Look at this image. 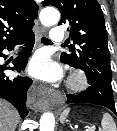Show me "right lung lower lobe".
<instances>
[{
    "label": "right lung lower lobe",
    "instance_id": "right-lung-lower-lobe-1",
    "mask_svg": "<svg viewBox=\"0 0 117 131\" xmlns=\"http://www.w3.org/2000/svg\"><path fill=\"white\" fill-rule=\"evenodd\" d=\"M19 43H26V48L24 52L13 61V67L0 65V98H3L13 104L19 111L20 116L24 118L28 110L26 108V95L27 90L31 86L32 80L28 77H9L5 75L6 70H24L28 57L30 56L31 50L35 43L34 33L28 34L26 37L22 38L18 42L8 45L0 49V56L6 57L3 53V49H8L9 51L14 48L15 45Z\"/></svg>",
    "mask_w": 117,
    "mask_h": 131
}]
</instances>
